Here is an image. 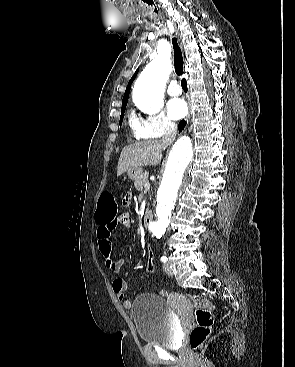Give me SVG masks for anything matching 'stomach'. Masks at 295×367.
I'll use <instances>...</instances> for the list:
<instances>
[{
	"label": "stomach",
	"instance_id": "0dacf381",
	"mask_svg": "<svg viewBox=\"0 0 295 367\" xmlns=\"http://www.w3.org/2000/svg\"><path fill=\"white\" fill-rule=\"evenodd\" d=\"M141 175H142V169L141 168H136V169L128 171V176L133 181L139 180Z\"/></svg>",
	"mask_w": 295,
	"mask_h": 367
}]
</instances>
